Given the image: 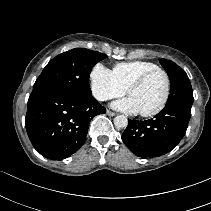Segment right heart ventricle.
Listing matches in <instances>:
<instances>
[{"mask_svg": "<svg viewBox=\"0 0 211 211\" xmlns=\"http://www.w3.org/2000/svg\"><path fill=\"white\" fill-rule=\"evenodd\" d=\"M159 68L156 64L148 61H129L114 65L112 72L126 90L128 87L144 73Z\"/></svg>", "mask_w": 211, "mask_h": 211, "instance_id": "right-heart-ventricle-1", "label": "right heart ventricle"}]
</instances>
